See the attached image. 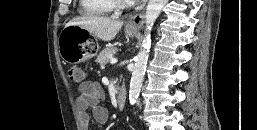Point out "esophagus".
<instances>
[{
	"label": "esophagus",
	"mask_w": 257,
	"mask_h": 130,
	"mask_svg": "<svg viewBox=\"0 0 257 130\" xmlns=\"http://www.w3.org/2000/svg\"><path fill=\"white\" fill-rule=\"evenodd\" d=\"M144 21H145V13L142 12L131 17L127 22V26L130 28H139L143 25Z\"/></svg>",
	"instance_id": "esophagus-1"
}]
</instances>
